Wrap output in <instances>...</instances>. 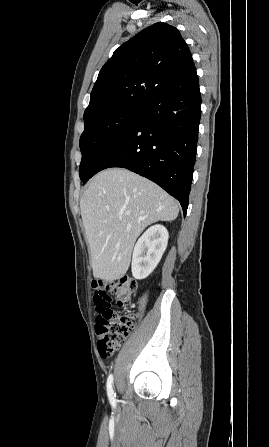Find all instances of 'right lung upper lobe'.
<instances>
[{
  "mask_svg": "<svg viewBox=\"0 0 269 447\" xmlns=\"http://www.w3.org/2000/svg\"><path fill=\"white\" fill-rule=\"evenodd\" d=\"M180 32L156 23L115 50L102 67L91 92L84 121L115 109L142 104L193 65Z\"/></svg>",
  "mask_w": 269,
  "mask_h": 447,
  "instance_id": "obj_1",
  "label": "right lung upper lobe"
}]
</instances>
